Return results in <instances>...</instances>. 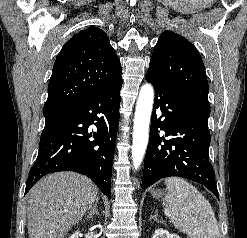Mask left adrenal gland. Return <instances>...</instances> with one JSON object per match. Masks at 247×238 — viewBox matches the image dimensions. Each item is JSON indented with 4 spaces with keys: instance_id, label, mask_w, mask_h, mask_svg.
Segmentation results:
<instances>
[{
    "instance_id": "a2214340",
    "label": "left adrenal gland",
    "mask_w": 247,
    "mask_h": 238,
    "mask_svg": "<svg viewBox=\"0 0 247 238\" xmlns=\"http://www.w3.org/2000/svg\"><path fill=\"white\" fill-rule=\"evenodd\" d=\"M157 216H158V214H157V212H156V214L153 215V216H151L150 218H151V219H154L156 222H159L158 219H157Z\"/></svg>"
}]
</instances>
